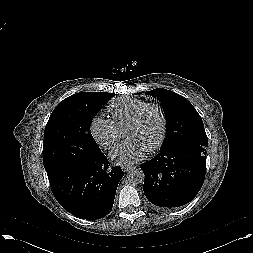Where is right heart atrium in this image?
<instances>
[{
    "label": "right heart atrium",
    "instance_id": "d8ad5b80",
    "mask_svg": "<svg viewBox=\"0 0 253 253\" xmlns=\"http://www.w3.org/2000/svg\"><path fill=\"white\" fill-rule=\"evenodd\" d=\"M90 130L96 143L107 151L113 150L119 143L120 130L112 120L96 116L91 121Z\"/></svg>",
    "mask_w": 253,
    "mask_h": 253
}]
</instances>
